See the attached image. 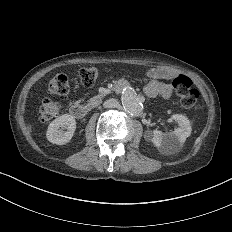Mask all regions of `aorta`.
I'll use <instances>...</instances> for the list:
<instances>
[{"mask_svg": "<svg viewBox=\"0 0 232 232\" xmlns=\"http://www.w3.org/2000/svg\"><path fill=\"white\" fill-rule=\"evenodd\" d=\"M122 105L129 114L137 116L143 110V104L133 88L127 87L122 92Z\"/></svg>", "mask_w": 232, "mask_h": 232, "instance_id": "762f6f07", "label": "aorta"}]
</instances>
